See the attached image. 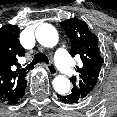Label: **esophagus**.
I'll list each match as a JSON object with an SVG mask.
<instances>
[{
    "mask_svg": "<svg viewBox=\"0 0 117 117\" xmlns=\"http://www.w3.org/2000/svg\"><path fill=\"white\" fill-rule=\"evenodd\" d=\"M44 66L46 67V69L48 70V72L51 75L57 74V70H56V67L54 66V64L50 63V64H45Z\"/></svg>",
    "mask_w": 117,
    "mask_h": 117,
    "instance_id": "1",
    "label": "esophagus"
}]
</instances>
